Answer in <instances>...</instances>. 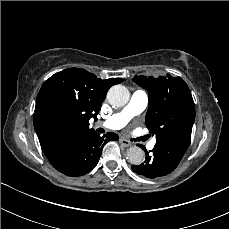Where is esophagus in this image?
Wrapping results in <instances>:
<instances>
[{"label": "esophagus", "mask_w": 229, "mask_h": 229, "mask_svg": "<svg viewBox=\"0 0 229 229\" xmlns=\"http://www.w3.org/2000/svg\"><path fill=\"white\" fill-rule=\"evenodd\" d=\"M119 142L124 147H130L131 146V142L125 138H120Z\"/></svg>", "instance_id": "1"}]
</instances>
